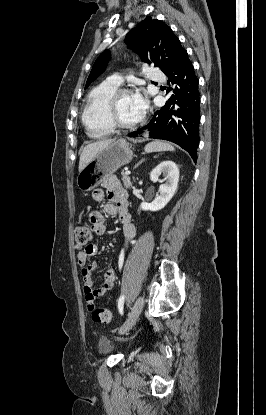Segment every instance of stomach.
<instances>
[{
  "label": "stomach",
  "mask_w": 266,
  "mask_h": 415,
  "mask_svg": "<svg viewBox=\"0 0 266 415\" xmlns=\"http://www.w3.org/2000/svg\"><path fill=\"white\" fill-rule=\"evenodd\" d=\"M133 152L129 143L119 139L102 149L82 169L77 177V186L87 192L96 188L102 181L112 175L121 166L132 160Z\"/></svg>",
  "instance_id": "1"
}]
</instances>
